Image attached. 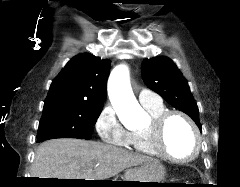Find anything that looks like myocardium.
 <instances>
[{"mask_svg": "<svg viewBox=\"0 0 240 187\" xmlns=\"http://www.w3.org/2000/svg\"><path fill=\"white\" fill-rule=\"evenodd\" d=\"M173 116L183 118L190 126L194 138L195 145L193 153L184 159L174 157L164 147V130L168 120ZM146 132L150 139V144L153 150L162 158L178 164H185L194 161L201 152V135L198 126L193 119L186 113L178 110L164 111L162 114L153 118L149 125L146 127Z\"/></svg>", "mask_w": 240, "mask_h": 187, "instance_id": "obj_1", "label": "myocardium"}]
</instances>
